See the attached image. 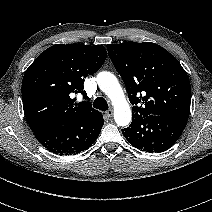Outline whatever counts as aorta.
Returning <instances> with one entry per match:
<instances>
[{
    "mask_svg": "<svg viewBox=\"0 0 212 212\" xmlns=\"http://www.w3.org/2000/svg\"><path fill=\"white\" fill-rule=\"evenodd\" d=\"M98 87L111 100L114 106V120L118 126L125 127L130 124L132 112L121 85L116 76L103 71L97 75Z\"/></svg>",
    "mask_w": 212,
    "mask_h": 212,
    "instance_id": "obj_1",
    "label": "aorta"
}]
</instances>
